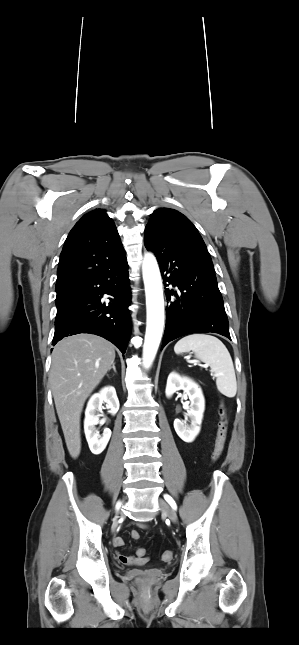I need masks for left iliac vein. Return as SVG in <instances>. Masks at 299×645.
Wrapping results in <instances>:
<instances>
[{
  "label": "left iliac vein",
  "instance_id": "left-iliac-vein-1",
  "mask_svg": "<svg viewBox=\"0 0 299 645\" xmlns=\"http://www.w3.org/2000/svg\"><path fill=\"white\" fill-rule=\"evenodd\" d=\"M159 507L163 514H165L173 523L177 522V514L175 510L163 499H159Z\"/></svg>",
  "mask_w": 299,
  "mask_h": 645
}]
</instances>
